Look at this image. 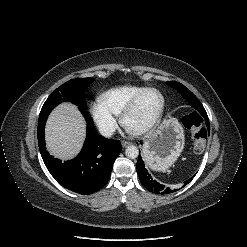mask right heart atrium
Instances as JSON below:
<instances>
[{"mask_svg":"<svg viewBox=\"0 0 247 247\" xmlns=\"http://www.w3.org/2000/svg\"><path fill=\"white\" fill-rule=\"evenodd\" d=\"M90 112L98 129L104 136H111L117 127V118L101 101L91 104Z\"/></svg>","mask_w":247,"mask_h":247,"instance_id":"1","label":"right heart atrium"}]
</instances>
